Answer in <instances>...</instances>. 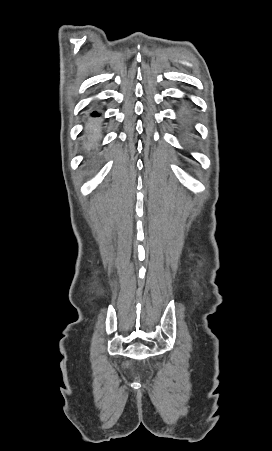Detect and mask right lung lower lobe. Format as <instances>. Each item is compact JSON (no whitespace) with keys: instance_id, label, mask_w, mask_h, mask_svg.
Instances as JSON below:
<instances>
[{"instance_id":"right-lung-lower-lobe-1","label":"right lung lower lobe","mask_w":272,"mask_h":451,"mask_svg":"<svg viewBox=\"0 0 272 451\" xmlns=\"http://www.w3.org/2000/svg\"><path fill=\"white\" fill-rule=\"evenodd\" d=\"M101 116H102L101 112H99V111H92L89 114L90 118L87 120V126L90 129H97V128H99L101 126L102 121L97 119V118L101 117Z\"/></svg>"}]
</instances>
